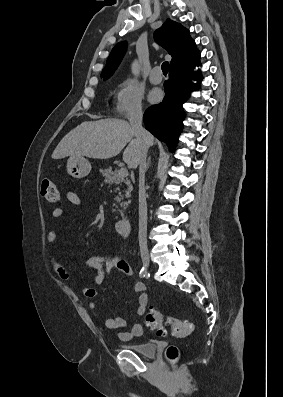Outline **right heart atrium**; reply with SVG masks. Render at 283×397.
<instances>
[{"mask_svg": "<svg viewBox=\"0 0 283 397\" xmlns=\"http://www.w3.org/2000/svg\"><path fill=\"white\" fill-rule=\"evenodd\" d=\"M143 94L131 79L121 81L115 91L113 112L121 118H131L143 113Z\"/></svg>", "mask_w": 283, "mask_h": 397, "instance_id": "obj_1", "label": "right heart atrium"}]
</instances>
